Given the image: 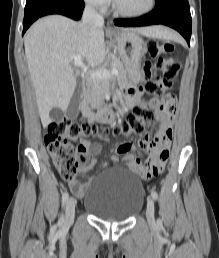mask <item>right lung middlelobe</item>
Listing matches in <instances>:
<instances>
[{
    "instance_id": "right-lung-middle-lobe-1",
    "label": "right lung middle lobe",
    "mask_w": 219,
    "mask_h": 258,
    "mask_svg": "<svg viewBox=\"0 0 219 258\" xmlns=\"http://www.w3.org/2000/svg\"><path fill=\"white\" fill-rule=\"evenodd\" d=\"M38 1L39 0H27L25 8H28V7L32 6L33 4H35Z\"/></svg>"
}]
</instances>
